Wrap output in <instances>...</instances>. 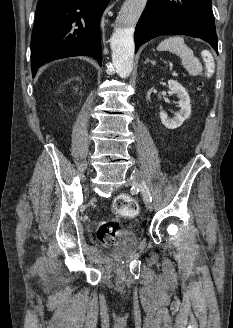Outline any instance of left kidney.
<instances>
[{
	"mask_svg": "<svg viewBox=\"0 0 233 328\" xmlns=\"http://www.w3.org/2000/svg\"><path fill=\"white\" fill-rule=\"evenodd\" d=\"M168 86L170 90L177 95L178 107L179 111L175 113V115L170 118L168 117L167 113L161 111L159 113L161 122L163 125L168 129H176L180 127L183 122L189 118L191 114V104H190V97L186 91V89L177 81L169 80Z\"/></svg>",
	"mask_w": 233,
	"mask_h": 328,
	"instance_id": "1",
	"label": "left kidney"
}]
</instances>
